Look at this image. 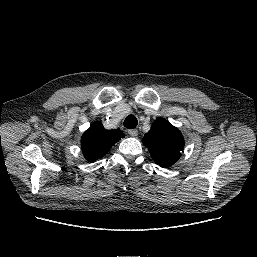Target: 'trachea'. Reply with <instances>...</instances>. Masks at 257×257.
<instances>
[{
    "label": "trachea",
    "instance_id": "trachea-1",
    "mask_svg": "<svg viewBox=\"0 0 257 257\" xmlns=\"http://www.w3.org/2000/svg\"><path fill=\"white\" fill-rule=\"evenodd\" d=\"M124 126L128 129H133L137 126L138 120L134 115H128L124 120Z\"/></svg>",
    "mask_w": 257,
    "mask_h": 257
}]
</instances>
